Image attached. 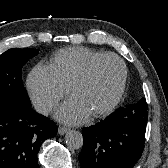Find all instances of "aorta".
<instances>
[{
	"instance_id": "1",
	"label": "aorta",
	"mask_w": 168,
	"mask_h": 168,
	"mask_svg": "<svg viewBox=\"0 0 168 168\" xmlns=\"http://www.w3.org/2000/svg\"><path fill=\"white\" fill-rule=\"evenodd\" d=\"M65 142L69 149L77 150L83 145V135L79 131L71 130L66 134Z\"/></svg>"
}]
</instances>
